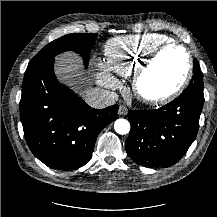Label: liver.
I'll list each match as a JSON object with an SVG mask.
<instances>
[{"label": "liver", "mask_w": 217, "mask_h": 217, "mask_svg": "<svg viewBox=\"0 0 217 217\" xmlns=\"http://www.w3.org/2000/svg\"><path fill=\"white\" fill-rule=\"evenodd\" d=\"M55 73L60 81L77 90V83L83 75L80 58L74 53L59 55L56 58Z\"/></svg>", "instance_id": "obj_1"}]
</instances>
